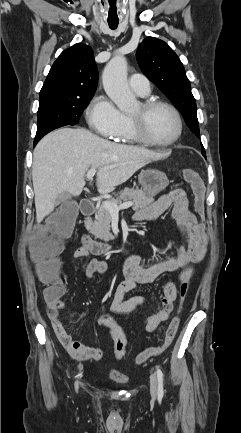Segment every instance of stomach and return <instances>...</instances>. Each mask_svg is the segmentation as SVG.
<instances>
[{
  "mask_svg": "<svg viewBox=\"0 0 241 433\" xmlns=\"http://www.w3.org/2000/svg\"><path fill=\"white\" fill-rule=\"evenodd\" d=\"M138 181L143 191L150 196L157 195L169 184L166 174L157 169H147L141 171Z\"/></svg>",
  "mask_w": 241,
  "mask_h": 433,
  "instance_id": "0dacf381",
  "label": "stomach"
}]
</instances>
